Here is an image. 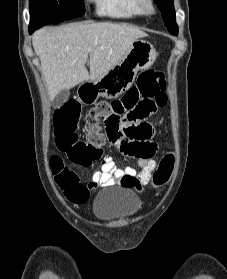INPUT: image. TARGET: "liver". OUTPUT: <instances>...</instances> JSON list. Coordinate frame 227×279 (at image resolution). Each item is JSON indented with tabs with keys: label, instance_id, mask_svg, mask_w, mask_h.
<instances>
[{
	"label": "liver",
	"instance_id": "obj_1",
	"mask_svg": "<svg viewBox=\"0 0 227 279\" xmlns=\"http://www.w3.org/2000/svg\"><path fill=\"white\" fill-rule=\"evenodd\" d=\"M145 36L133 25L110 22L73 23L36 31L32 44L41 61L50 100L62 90L101 77L122 59L135 40Z\"/></svg>",
	"mask_w": 227,
	"mask_h": 279
}]
</instances>
